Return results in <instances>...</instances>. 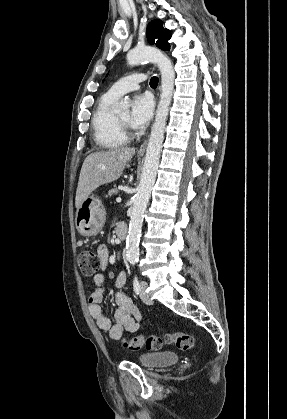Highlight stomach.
Segmentation results:
<instances>
[{
    "instance_id": "obj_1",
    "label": "stomach",
    "mask_w": 287,
    "mask_h": 419,
    "mask_svg": "<svg viewBox=\"0 0 287 419\" xmlns=\"http://www.w3.org/2000/svg\"><path fill=\"white\" fill-rule=\"evenodd\" d=\"M105 209L101 200L95 196L86 198L77 209L75 224L82 236L97 235L105 223Z\"/></svg>"
}]
</instances>
